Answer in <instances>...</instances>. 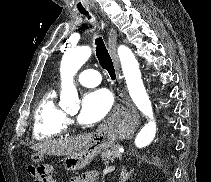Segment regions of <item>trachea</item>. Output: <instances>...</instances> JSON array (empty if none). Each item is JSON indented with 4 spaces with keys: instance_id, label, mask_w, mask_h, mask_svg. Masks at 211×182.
I'll return each instance as SVG.
<instances>
[{
    "instance_id": "trachea-1",
    "label": "trachea",
    "mask_w": 211,
    "mask_h": 182,
    "mask_svg": "<svg viewBox=\"0 0 211 182\" xmlns=\"http://www.w3.org/2000/svg\"><path fill=\"white\" fill-rule=\"evenodd\" d=\"M85 16H88L87 11H81ZM96 56L103 69L107 70L112 80H115L116 74L110 54L101 37L96 38Z\"/></svg>"
}]
</instances>
